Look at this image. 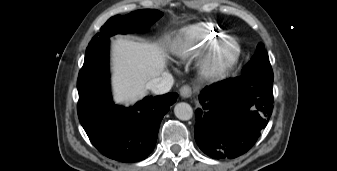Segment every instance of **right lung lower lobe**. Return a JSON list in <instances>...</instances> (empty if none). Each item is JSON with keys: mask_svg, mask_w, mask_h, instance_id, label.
<instances>
[{"mask_svg": "<svg viewBox=\"0 0 337 171\" xmlns=\"http://www.w3.org/2000/svg\"><path fill=\"white\" fill-rule=\"evenodd\" d=\"M109 39L91 44L77 80L78 117L91 143L120 162L144 160L157 141L160 122L177 93L146 97L130 109L113 104L108 73Z\"/></svg>", "mask_w": 337, "mask_h": 171, "instance_id": "1", "label": "right lung lower lobe"}]
</instances>
